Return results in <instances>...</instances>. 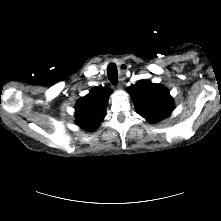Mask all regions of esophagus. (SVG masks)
<instances>
[{
  "mask_svg": "<svg viewBox=\"0 0 221 221\" xmlns=\"http://www.w3.org/2000/svg\"><path fill=\"white\" fill-rule=\"evenodd\" d=\"M122 67H126V66H125V65H122ZM125 71H126V69H125V68H124V69L122 68V69H121V74L123 75ZM122 80H123V78L120 79V81H122ZM118 88H122L121 83L118 84Z\"/></svg>",
  "mask_w": 221,
  "mask_h": 221,
  "instance_id": "1",
  "label": "esophagus"
}]
</instances>
